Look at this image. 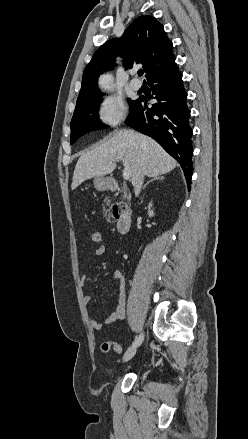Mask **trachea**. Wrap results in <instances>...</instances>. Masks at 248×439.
I'll return each mask as SVG.
<instances>
[{"instance_id":"1","label":"trachea","mask_w":248,"mask_h":439,"mask_svg":"<svg viewBox=\"0 0 248 439\" xmlns=\"http://www.w3.org/2000/svg\"><path fill=\"white\" fill-rule=\"evenodd\" d=\"M143 73H144V71H143V70H139V71H138V75H139V76H142V75H143Z\"/></svg>"}]
</instances>
